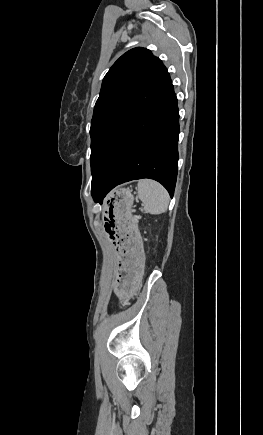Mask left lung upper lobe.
Here are the masks:
<instances>
[{
  "mask_svg": "<svg viewBox=\"0 0 263 435\" xmlns=\"http://www.w3.org/2000/svg\"><path fill=\"white\" fill-rule=\"evenodd\" d=\"M170 81L161 60L145 48H133L113 64L91 122L92 180L126 127Z\"/></svg>",
  "mask_w": 263,
  "mask_h": 435,
  "instance_id": "left-lung-upper-lobe-1",
  "label": "left lung upper lobe"
}]
</instances>
